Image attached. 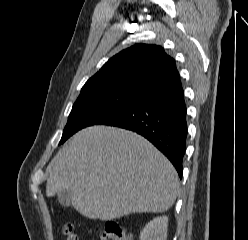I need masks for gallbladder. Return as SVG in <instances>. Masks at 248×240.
<instances>
[{"mask_svg": "<svg viewBox=\"0 0 248 240\" xmlns=\"http://www.w3.org/2000/svg\"><path fill=\"white\" fill-rule=\"evenodd\" d=\"M57 199L63 207L71 205V192L69 189H63L57 193Z\"/></svg>", "mask_w": 248, "mask_h": 240, "instance_id": "obj_1", "label": "gallbladder"}]
</instances>
